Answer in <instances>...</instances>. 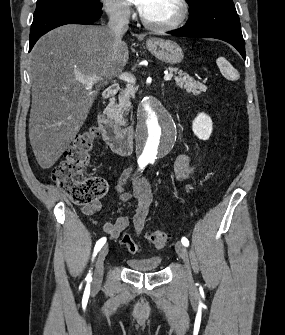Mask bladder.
<instances>
[{
	"instance_id": "1",
	"label": "bladder",
	"mask_w": 285,
	"mask_h": 335,
	"mask_svg": "<svg viewBox=\"0 0 285 335\" xmlns=\"http://www.w3.org/2000/svg\"><path fill=\"white\" fill-rule=\"evenodd\" d=\"M130 270L140 273H153L155 265H162V256H148L144 258H127Z\"/></svg>"
}]
</instances>
